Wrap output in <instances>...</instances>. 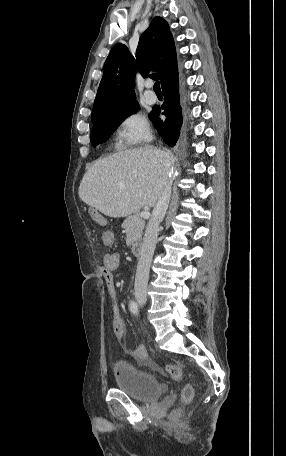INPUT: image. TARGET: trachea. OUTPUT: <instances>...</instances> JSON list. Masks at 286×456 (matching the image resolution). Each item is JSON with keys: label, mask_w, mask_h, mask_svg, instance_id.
<instances>
[{"label": "trachea", "mask_w": 286, "mask_h": 456, "mask_svg": "<svg viewBox=\"0 0 286 456\" xmlns=\"http://www.w3.org/2000/svg\"><path fill=\"white\" fill-rule=\"evenodd\" d=\"M153 89L155 92H161L160 83L158 81L155 82Z\"/></svg>", "instance_id": "3493384b"}]
</instances>
